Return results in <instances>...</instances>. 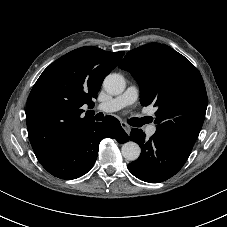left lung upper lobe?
<instances>
[{
    "label": "left lung upper lobe",
    "mask_w": 227,
    "mask_h": 227,
    "mask_svg": "<svg viewBox=\"0 0 227 227\" xmlns=\"http://www.w3.org/2000/svg\"><path fill=\"white\" fill-rule=\"evenodd\" d=\"M119 67L137 80L142 105L154 104L158 108L156 131L192 150L207 109V93L197 68L180 53L159 43L129 51Z\"/></svg>",
    "instance_id": "obj_1"
}]
</instances>
